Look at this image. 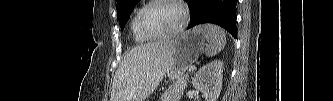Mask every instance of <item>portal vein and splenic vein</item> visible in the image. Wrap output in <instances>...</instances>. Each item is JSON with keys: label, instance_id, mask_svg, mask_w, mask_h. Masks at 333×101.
I'll use <instances>...</instances> for the list:
<instances>
[{"label": "portal vein and splenic vein", "instance_id": "obj_1", "mask_svg": "<svg viewBox=\"0 0 333 101\" xmlns=\"http://www.w3.org/2000/svg\"><path fill=\"white\" fill-rule=\"evenodd\" d=\"M194 68H195L194 66H191L190 69H189V71L193 70Z\"/></svg>", "mask_w": 333, "mask_h": 101}]
</instances>
